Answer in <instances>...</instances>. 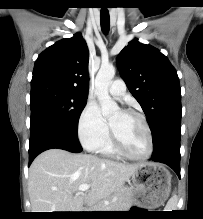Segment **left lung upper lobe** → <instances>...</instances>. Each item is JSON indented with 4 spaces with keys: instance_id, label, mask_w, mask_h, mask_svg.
<instances>
[{
    "instance_id": "1",
    "label": "left lung upper lobe",
    "mask_w": 203,
    "mask_h": 219,
    "mask_svg": "<svg viewBox=\"0 0 203 219\" xmlns=\"http://www.w3.org/2000/svg\"><path fill=\"white\" fill-rule=\"evenodd\" d=\"M122 78L141 105L155 146L169 131L181 127L179 78L158 49L132 40L117 56Z\"/></svg>"
}]
</instances>
